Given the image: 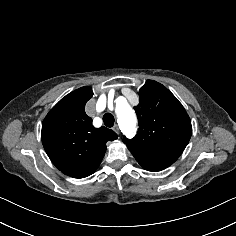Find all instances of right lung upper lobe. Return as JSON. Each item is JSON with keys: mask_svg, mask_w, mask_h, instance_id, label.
Here are the masks:
<instances>
[{"mask_svg": "<svg viewBox=\"0 0 236 236\" xmlns=\"http://www.w3.org/2000/svg\"><path fill=\"white\" fill-rule=\"evenodd\" d=\"M93 96L90 87H82L62 98L42 123L41 139L53 164L64 174L84 178L99 167L106 142L118 138L106 127L96 129L85 114V104Z\"/></svg>", "mask_w": 236, "mask_h": 236, "instance_id": "obj_1", "label": "right lung upper lobe"}]
</instances>
